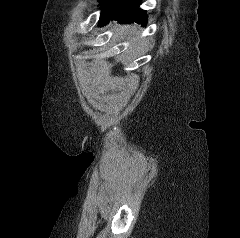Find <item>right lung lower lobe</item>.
<instances>
[{
    "label": "right lung lower lobe",
    "instance_id": "1",
    "mask_svg": "<svg viewBox=\"0 0 240 238\" xmlns=\"http://www.w3.org/2000/svg\"><path fill=\"white\" fill-rule=\"evenodd\" d=\"M139 0H127L116 12L99 21L100 25L108 23L110 20H118L123 23H147L146 11L139 8Z\"/></svg>",
    "mask_w": 240,
    "mask_h": 238
}]
</instances>
